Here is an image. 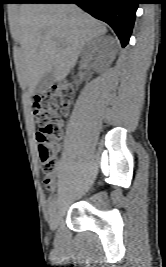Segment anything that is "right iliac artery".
Returning a JSON list of instances; mask_svg holds the SVG:
<instances>
[{"instance_id":"1","label":"right iliac artery","mask_w":166,"mask_h":267,"mask_svg":"<svg viewBox=\"0 0 166 267\" xmlns=\"http://www.w3.org/2000/svg\"><path fill=\"white\" fill-rule=\"evenodd\" d=\"M56 209V201L52 200L49 203V214L52 215Z\"/></svg>"}]
</instances>
